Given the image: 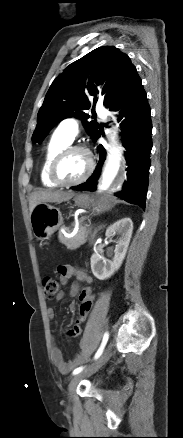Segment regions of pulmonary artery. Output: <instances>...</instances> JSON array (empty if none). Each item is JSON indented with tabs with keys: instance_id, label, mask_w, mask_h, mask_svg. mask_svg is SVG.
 Wrapping results in <instances>:
<instances>
[{
	"instance_id": "e3ab8cb5",
	"label": "pulmonary artery",
	"mask_w": 183,
	"mask_h": 438,
	"mask_svg": "<svg viewBox=\"0 0 183 438\" xmlns=\"http://www.w3.org/2000/svg\"><path fill=\"white\" fill-rule=\"evenodd\" d=\"M96 111L102 117L106 116V111L100 101L97 102ZM57 131L73 141L79 131L78 121L75 118H67L59 124Z\"/></svg>"
}]
</instances>
